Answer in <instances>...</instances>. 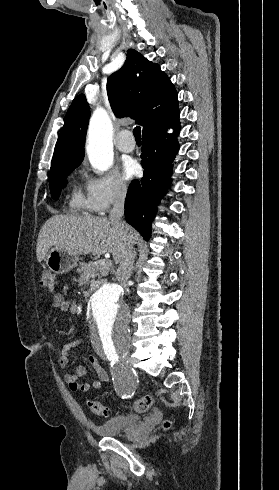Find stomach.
Here are the masks:
<instances>
[{
    "label": "stomach",
    "instance_id": "stomach-1",
    "mask_svg": "<svg viewBox=\"0 0 279 490\" xmlns=\"http://www.w3.org/2000/svg\"><path fill=\"white\" fill-rule=\"evenodd\" d=\"M45 262L53 274L61 276V274H66V272H70V270L76 268L79 258L77 254H71V252H67V250L52 248V250L48 252Z\"/></svg>",
    "mask_w": 279,
    "mask_h": 490
}]
</instances>
